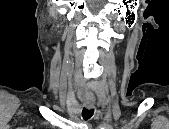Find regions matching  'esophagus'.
<instances>
[{"instance_id":"34e87169","label":"esophagus","mask_w":169,"mask_h":129,"mask_svg":"<svg viewBox=\"0 0 169 129\" xmlns=\"http://www.w3.org/2000/svg\"><path fill=\"white\" fill-rule=\"evenodd\" d=\"M94 106L93 105H87V108H93Z\"/></svg>"}]
</instances>
